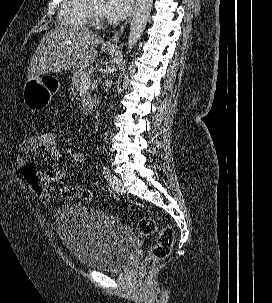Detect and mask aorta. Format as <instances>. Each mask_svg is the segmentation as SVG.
<instances>
[{
	"mask_svg": "<svg viewBox=\"0 0 272 303\" xmlns=\"http://www.w3.org/2000/svg\"><path fill=\"white\" fill-rule=\"evenodd\" d=\"M153 0H136L127 39V53L137 44L145 30L152 9ZM119 89L120 78L116 82Z\"/></svg>",
	"mask_w": 272,
	"mask_h": 303,
	"instance_id": "aorta-1",
	"label": "aorta"
}]
</instances>
